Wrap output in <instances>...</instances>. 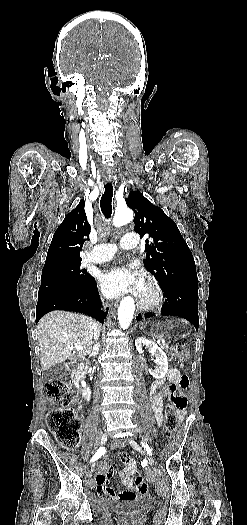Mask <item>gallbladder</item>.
Segmentation results:
<instances>
[{"label":"gallbladder","mask_w":247,"mask_h":525,"mask_svg":"<svg viewBox=\"0 0 247 525\" xmlns=\"http://www.w3.org/2000/svg\"><path fill=\"white\" fill-rule=\"evenodd\" d=\"M43 372L46 374L48 380L53 381L57 379L58 375H61V373H66V368H62L60 363H56L55 365L45 367Z\"/></svg>","instance_id":"obj_1"}]
</instances>
